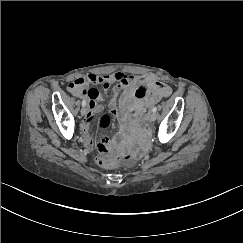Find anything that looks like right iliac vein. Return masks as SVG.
<instances>
[{
    "label": "right iliac vein",
    "instance_id": "1",
    "mask_svg": "<svg viewBox=\"0 0 243 243\" xmlns=\"http://www.w3.org/2000/svg\"><path fill=\"white\" fill-rule=\"evenodd\" d=\"M86 114V108L82 107L81 108V115L84 116Z\"/></svg>",
    "mask_w": 243,
    "mask_h": 243
}]
</instances>
